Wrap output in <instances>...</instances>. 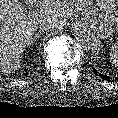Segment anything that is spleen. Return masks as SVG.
Instances as JSON below:
<instances>
[{"label":"spleen","instance_id":"1","mask_svg":"<svg viewBox=\"0 0 118 118\" xmlns=\"http://www.w3.org/2000/svg\"><path fill=\"white\" fill-rule=\"evenodd\" d=\"M110 59L113 64L118 68V42L110 47Z\"/></svg>","mask_w":118,"mask_h":118}]
</instances>
